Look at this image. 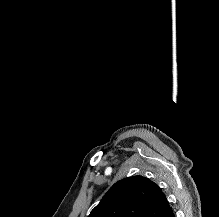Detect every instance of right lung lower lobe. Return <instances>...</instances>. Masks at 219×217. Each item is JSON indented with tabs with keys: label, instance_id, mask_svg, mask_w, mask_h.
Wrapping results in <instances>:
<instances>
[{
	"label": "right lung lower lobe",
	"instance_id": "right-lung-lower-lobe-1",
	"mask_svg": "<svg viewBox=\"0 0 219 217\" xmlns=\"http://www.w3.org/2000/svg\"><path fill=\"white\" fill-rule=\"evenodd\" d=\"M169 217H175L174 212H172Z\"/></svg>",
	"mask_w": 219,
	"mask_h": 217
}]
</instances>
